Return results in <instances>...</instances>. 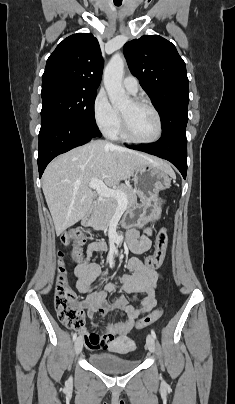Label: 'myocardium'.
Instances as JSON below:
<instances>
[{
	"label": "myocardium",
	"instance_id": "f54148a6",
	"mask_svg": "<svg viewBox=\"0 0 235 404\" xmlns=\"http://www.w3.org/2000/svg\"><path fill=\"white\" fill-rule=\"evenodd\" d=\"M131 101L135 106L147 107L154 113V115L157 119V133H156L155 137L150 140H140V139L135 138L129 130L128 121H127L125 115L122 112H120V123H121V130H122L123 136L125 137V139H127L128 141L135 143V144L156 143L157 141H159V139L161 138L162 133H163V123H162V118H161L159 111L156 109V107L153 104H151L150 102H148L144 99L134 98Z\"/></svg>",
	"mask_w": 235,
	"mask_h": 404
}]
</instances>
